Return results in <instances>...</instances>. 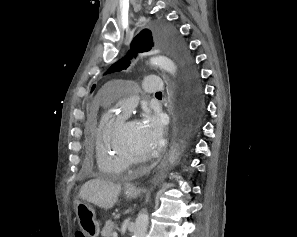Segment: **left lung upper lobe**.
<instances>
[{"instance_id": "5c2ea615", "label": "left lung upper lobe", "mask_w": 297, "mask_h": 237, "mask_svg": "<svg viewBox=\"0 0 297 237\" xmlns=\"http://www.w3.org/2000/svg\"><path fill=\"white\" fill-rule=\"evenodd\" d=\"M155 45L165 46L176 56L181 64L184 95L193 99L197 105L202 106V88L193 62L187 53L184 43L178 37L177 32L164 24H157L154 31L148 29L142 30L133 39L131 50L128 54L115 63L107 73L126 69L132 57H136V53L149 51ZM94 87L95 85L92 87V90Z\"/></svg>"}]
</instances>
